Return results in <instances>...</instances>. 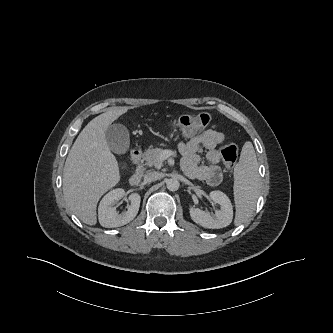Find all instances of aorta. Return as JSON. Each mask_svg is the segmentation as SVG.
Here are the masks:
<instances>
[{
	"mask_svg": "<svg viewBox=\"0 0 333 333\" xmlns=\"http://www.w3.org/2000/svg\"><path fill=\"white\" fill-rule=\"evenodd\" d=\"M167 189L170 191H177L179 189L180 183L177 179L171 178L166 182Z\"/></svg>",
	"mask_w": 333,
	"mask_h": 333,
	"instance_id": "obj_1",
	"label": "aorta"
}]
</instances>
